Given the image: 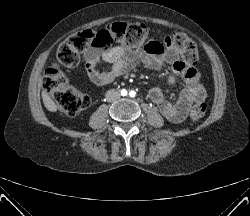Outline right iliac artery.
Wrapping results in <instances>:
<instances>
[{"label":"right iliac artery","instance_id":"82829eb1","mask_svg":"<svg viewBox=\"0 0 250 216\" xmlns=\"http://www.w3.org/2000/svg\"><path fill=\"white\" fill-rule=\"evenodd\" d=\"M121 95L122 96H126L127 95V91L125 89L121 90Z\"/></svg>","mask_w":250,"mask_h":216}]
</instances>
